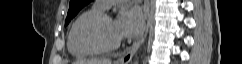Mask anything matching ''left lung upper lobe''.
<instances>
[{
    "mask_svg": "<svg viewBox=\"0 0 242 64\" xmlns=\"http://www.w3.org/2000/svg\"><path fill=\"white\" fill-rule=\"evenodd\" d=\"M92 0H70V6L68 14L65 20V25H67L71 19L88 3Z\"/></svg>",
    "mask_w": 242,
    "mask_h": 64,
    "instance_id": "obj_1",
    "label": "left lung upper lobe"
}]
</instances>
